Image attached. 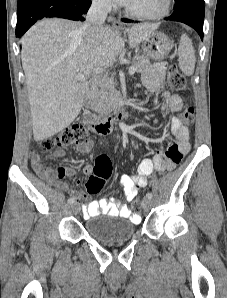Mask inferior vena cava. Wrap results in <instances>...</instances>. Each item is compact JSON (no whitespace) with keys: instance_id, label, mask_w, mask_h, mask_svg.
<instances>
[{"instance_id":"obj_1","label":"inferior vena cava","mask_w":227,"mask_h":298,"mask_svg":"<svg viewBox=\"0 0 227 298\" xmlns=\"http://www.w3.org/2000/svg\"><path fill=\"white\" fill-rule=\"evenodd\" d=\"M111 9L109 0H93L88 10L86 22L82 26V30L86 34L95 35L103 28L107 14Z\"/></svg>"}]
</instances>
